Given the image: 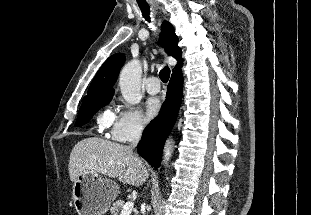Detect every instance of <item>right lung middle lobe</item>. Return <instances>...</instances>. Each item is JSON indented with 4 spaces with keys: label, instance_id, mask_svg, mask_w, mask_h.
Listing matches in <instances>:
<instances>
[{
    "label": "right lung middle lobe",
    "instance_id": "right-lung-middle-lobe-1",
    "mask_svg": "<svg viewBox=\"0 0 311 215\" xmlns=\"http://www.w3.org/2000/svg\"><path fill=\"white\" fill-rule=\"evenodd\" d=\"M112 96L98 97L84 101L80 107L76 126L84 125L89 119L96 113L101 107L107 105L111 100Z\"/></svg>",
    "mask_w": 311,
    "mask_h": 215
}]
</instances>
